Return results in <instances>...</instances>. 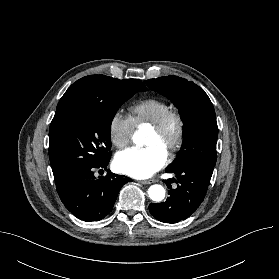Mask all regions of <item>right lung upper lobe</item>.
Returning <instances> with one entry per match:
<instances>
[{"label": "right lung upper lobe", "instance_id": "right-lung-upper-lobe-1", "mask_svg": "<svg viewBox=\"0 0 279 279\" xmlns=\"http://www.w3.org/2000/svg\"><path fill=\"white\" fill-rule=\"evenodd\" d=\"M96 75L86 76L84 78L79 79L75 83H73L68 90L65 92V94L60 99L57 108H59L68 98L75 94L79 93H85V92H91L92 91V81L93 78ZM126 80H133L134 83H136L142 91H146L147 88L145 85L138 79H126Z\"/></svg>", "mask_w": 279, "mask_h": 279}]
</instances>
